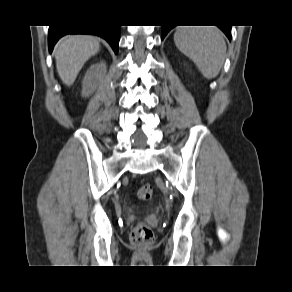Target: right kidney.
<instances>
[{"label": "right kidney", "instance_id": "ca27d5eb", "mask_svg": "<svg viewBox=\"0 0 292 292\" xmlns=\"http://www.w3.org/2000/svg\"><path fill=\"white\" fill-rule=\"evenodd\" d=\"M107 71L106 63L93 64L86 71L82 82V96L88 97L97 88L99 82L104 78Z\"/></svg>", "mask_w": 292, "mask_h": 292}]
</instances>
